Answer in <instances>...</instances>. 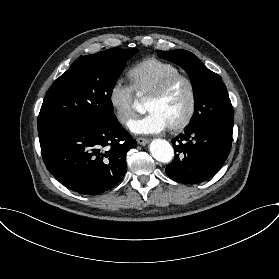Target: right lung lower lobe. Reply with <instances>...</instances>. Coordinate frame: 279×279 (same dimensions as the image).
<instances>
[{
    "mask_svg": "<svg viewBox=\"0 0 279 279\" xmlns=\"http://www.w3.org/2000/svg\"><path fill=\"white\" fill-rule=\"evenodd\" d=\"M40 145L48 171L59 182L82 195H98L121 181L126 153L136 140L116 120L50 133Z\"/></svg>",
    "mask_w": 279,
    "mask_h": 279,
    "instance_id": "right-lung-lower-lobe-1",
    "label": "right lung lower lobe"
}]
</instances>
